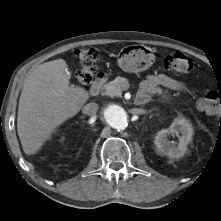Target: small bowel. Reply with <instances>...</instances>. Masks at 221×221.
<instances>
[{"label": "small bowel", "mask_w": 221, "mask_h": 221, "mask_svg": "<svg viewBox=\"0 0 221 221\" xmlns=\"http://www.w3.org/2000/svg\"><path fill=\"white\" fill-rule=\"evenodd\" d=\"M163 86L171 90L182 91L185 86L182 82L163 73L150 75L141 85V93L146 96L157 90L158 87Z\"/></svg>", "instance_id": "small-bowel-1"}]
</instances>
